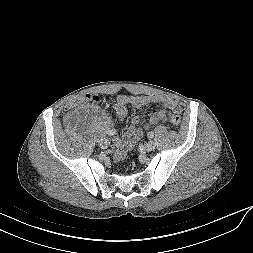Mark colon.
Segmentation results:
<instances>
[{
  "label": "colon",
  "instance_id": "1",
  "mask_svg": "<svg viewBox=\"0 0 253 253\" xmlns=\"http://www.w3.org/2000/svg\"><path fill=\"white\" fill-rule=\"evenodd\" d=\"M98 98L95 97V96H91V95H83V96H79L77 97L76 99H74L72 102H70L68 105H67V110L68 111H73L79 107H81L85 102L87 101H97ZM169 121L175 125V126H178L181 124V117L180 115L178 114H171L169 116Z\"/></svg>",
  "mask_w": 253,
  "mask_h": 253
}]
</instances>
